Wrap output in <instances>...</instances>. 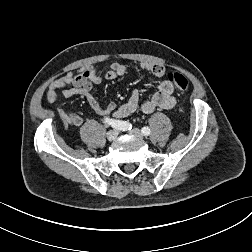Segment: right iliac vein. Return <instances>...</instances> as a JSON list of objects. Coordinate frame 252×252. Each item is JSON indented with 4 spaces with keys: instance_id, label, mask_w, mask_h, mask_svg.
I'll list each match as a JSON object with an SVG mask.
<instances>
[{
    "instance_id": "63e3f726",
    "label": "right iliac vein",
    "mask_w": 252,
    "mask_h": 252,
    "mask_svg": "<svg viewBox=\"0 0 252 252\" xmlns=\"http://www.w3.org/2000/svg\"><path fill=\"white\" fill-rule=\"evenodd\" d=\"M118 136V132L116 130H110L108 133H107V139L109 141H114Z\"/></svg>"
}]
</instances>
